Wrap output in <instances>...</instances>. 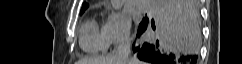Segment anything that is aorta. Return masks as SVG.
Instances as JSON below:
<instances>
[{
	"instance_id": "1",
	"label": "aorta",
	"mask_w": 242,
	"mask_h": 64,
	"mask_svg": "<svg viewBox=\"0 0 242 64\" xmlns=\"http://www.w3.org/2000/svg\"><path fill=\"white\" fill-rule=\"evenodd\" d=\"M110 2L114 9L120 10L124 5L125 0H110Z\"/></svg>"
}]
</instances>
